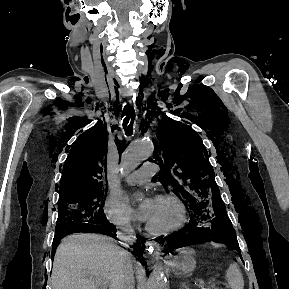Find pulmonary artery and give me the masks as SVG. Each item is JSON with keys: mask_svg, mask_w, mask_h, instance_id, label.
<instances>
[{"mask_svg": "<svg viewBox=\"0 0 289 289\" xmlns=\"http://www.w3.org/2000/svg\"><path fill=\"white\" fill-rule=\"evenodd\" d=\"M159 170L157 164L153 162L144 163L140 169L129 174L125 181L130 185H142L147 183Z\"/></svg>", "mask_w": 289, "mask_h": 289, "instance_id": "e3ab8cb5", "label": "pulmonary artery"}]
</instances>
